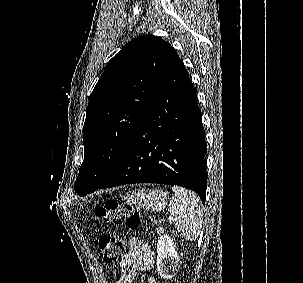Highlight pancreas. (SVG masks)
Returning a JSON list of instances; mask_svg holds the SVG:
<instances>
[{
    "label": "pancreas",
    "mask_w": 303,
    "mask_h": 283,
    "mask_svg": "<svg viewBox=\"0 0 303 283\" xmlns=\"http://www.w3.org/2000/svg\"><path fill=\"white\" fill-rule=\"evenodd\" d=\"M162 228H159V229H157V233H160V232H162Z\"/></svg>",
    "instance_id": "pancreas-1"
}]
</instances>
